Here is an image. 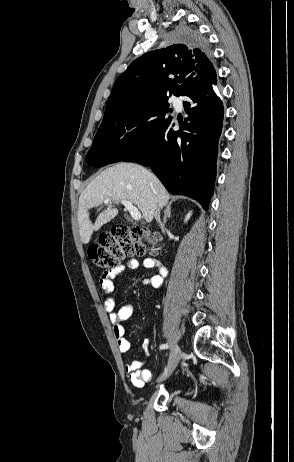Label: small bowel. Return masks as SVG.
Returning <instances> with one entry per match:
<instances>
[{
    "label": "small bowel",
    "mask_w": 294,
    "mask_h": 462,
    "mask_svg": "<svg viewBox=\"0 0 294 462\" xmlns=\"http://www.w3.org/2000/svg\"><path fill=\"white\" fill-rule=\"evenodd\" d=\"M138 266V260L130 259L127 261L126 265H118L115 268L104 272L99 280L100 287L105 296L104 308L113 325V334L121 353H126L130 349V342L125 337V328L123 323L131 318L133 314V306L131 304H126L121 306L119 309H116L114 279L126 269L134 270L138 268ZM142 266L145 268H159V274L145 278L143 280V284L154 288H160L163 284L164 277L167 275L166 269L158 261L152 258L144 259L142 261ZM149 345V340H144L142 342L143 356L125 365V371L131 383L137 388H142L147 382L152 380V373L150 369L145 367L149 356Z\"/></svg>",
    "instance_id": "small-bowel-1"
}]
</instances>
